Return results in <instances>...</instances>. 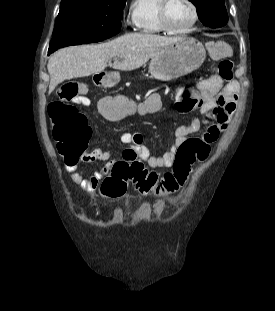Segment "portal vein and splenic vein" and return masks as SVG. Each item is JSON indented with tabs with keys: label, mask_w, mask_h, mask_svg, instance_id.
<instances>
[{
	"label": "portal vein and splenic vein",
	"mask_w": 275,
	"mask_h": 311,
	"mask_svg": "<svg viewBox=\"0 0 275 311\" xmlns=\"http://www.w3.org/2000/svg\"><path fill=\"white\" fill-rule=\"evenodd\" d=\"M117 63V60H115V63L114 64H116Z\"/></svg>",
	"instance_id": "portal-vein-and-splenic-vein-1"
}]
</instances>
